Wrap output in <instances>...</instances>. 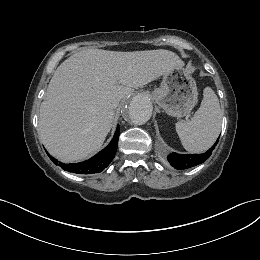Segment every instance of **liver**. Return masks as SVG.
I'll use <instances>...</instances> for the list:
<instances>
[{"instance_id": "1", "label": "liver", "mask_w": 260, "mask_h": 260, "mask_svg": "<svg viewBox=\"0 0 260 260\" xmlns=\"http://www.w3.org/2000/svg\"><path fill=\"white\" fill-rule=\"evenodd\" d=\"M183 66L178 55L164 49H86L73 54L49 82L40 106V140L63 162L90 157L105 141L122 98Z\"/></svg>"}]
</instances>
